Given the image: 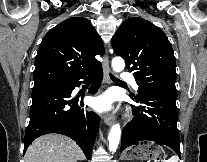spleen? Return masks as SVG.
Masks as SVG:
<instances>
[{
  "mask_svg": "<svg viewBox=\"0 0 207 162\" xmlns=\"http://www.w3.org/2000/svg\"><path fill=\"white\" fill-rule=\"evenodd\" d=\"M178 160L179 158L176 155H174L164 162H178Z\"/></svg>",
  "mask_w": 207,
  "mask_h": 162,
  "instance_id": "obj_1",
  "label": "spleen"
}]
</instances>
